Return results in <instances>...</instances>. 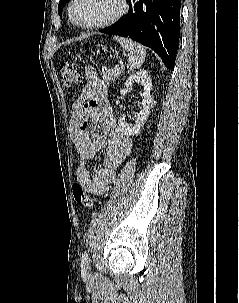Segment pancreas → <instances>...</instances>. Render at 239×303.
Masks as SVG:
<instances>
[{
  "mask_svg": "<svg viewBox=\"0 0 239 303\" xmlns=\"http://www.w3.org/2000/svg\"><path fill=\"white\" fill-rule=\"evenodd\" d=\"M102 72H103V80L107 84H110L120 76L122 72V68L119 69V71H116L115 69H107L106 67H103Z\"/></svg>",
  "mask_w": 239,
  "mask_h": 303,
  "instance_id": "obj_1",
  "label": "pancreas"
}]
</instances>
